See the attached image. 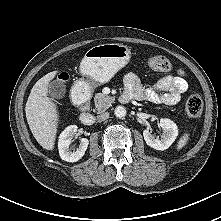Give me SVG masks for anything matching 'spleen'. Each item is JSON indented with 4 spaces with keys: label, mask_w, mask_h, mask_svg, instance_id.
<instances>
[{
    "label": "spleen",
    "mask_w": 221,
    "mask_h": 221,
    "mask_svg": "<svg viewBox=\"0 0 221 221\" xmlns=\"http://www.w3.org/2000/svg\"><path fill=\"white\" fill-rule=\"evenodd\" d=\"M188 139H189V134L188 133H185L181 139L178 141V144H177V150H180L182 149L188 142Z\"/></svg>",
    "instance_id": "obj_1"
}]
</instances>
